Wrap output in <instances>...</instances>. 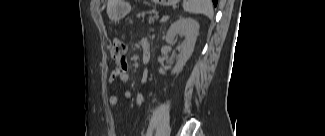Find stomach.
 <instances>
[{
    "label": "stomach",
    "mask_w": 325,
    "mask_h": 136,
    "mask_svg": "<svg viewBox=\"0 0 325 136\" xmlns=\"http://www.w3.org/2000/svg\"><path fill=\"white\" fill-rule=\"evenodd\" d=\"M178 2V0H156V3L163 6L174 5ZM130 10V6L124 0H116V3L113 7L112 17L113 20H119L123 18Z\"/></svg>",
    "instance_id": "obj_1"
}]
</instances>
